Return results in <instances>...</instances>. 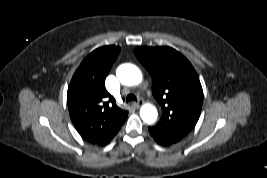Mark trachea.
I'll return each mask as SVG.
<instances>
[{
	"label": "trachea",
	"instance_id": "trachea-1",
	"mask_svg": "<svg viewBox=\"0 0 267 178\" xmlns=\"http://www.w3.org/2000/svg\"><path fill=\"white\" fill-rule=\"evenodd\" d=\"M131 101H135V102H137V98H136V96L134 95V94H129L128 96H127V98H126V102L128 103V102H131Z\"/></svg>",
	"mask_w": 267,
	"mask_h": 178
}]
</instances>
